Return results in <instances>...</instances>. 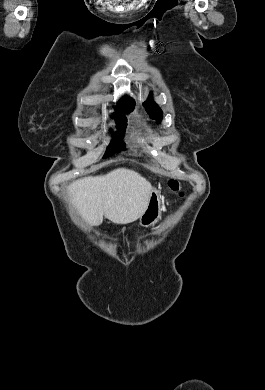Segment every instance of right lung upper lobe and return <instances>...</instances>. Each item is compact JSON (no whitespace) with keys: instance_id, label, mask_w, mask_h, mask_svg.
<instances>
[{"instance_id":"obj_1","label":"right lung upper lobe","mask_w":265,"mask_h":390,"mask_svg":"<svg viewBox=\"0 0 265 390\" xmlns=\"http://www.w3.org/2000/svg\"><path fill=\"white\" fill-rule=\"evenodd\" d=\"M135 102L130 97H124L118 102V107L120 109H116V112L114 113L115 119H120L123 117V115L134 108Z\"/></svg>"}]
</instances>
